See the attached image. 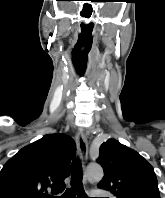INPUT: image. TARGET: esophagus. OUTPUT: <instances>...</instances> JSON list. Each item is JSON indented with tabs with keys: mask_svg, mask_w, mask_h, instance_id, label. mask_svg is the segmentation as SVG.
<instances>
[{
	"mask_svg": "<svg viewBox=\"0 0 165 198\" xmlns=\"http://www.w3.org/2000/svg\"><path fill=\"white\" fill-rule=\"evenodd\" d=\"M76 143L80 161L85 164L88 156V143L85 134L81 130L76 133Z\"/></svg>",
	"mask_w": 165,
	"mask_h": 198,
	"instance_id": "obj_1",
	"label": "esophagus"
}]
</instances>
